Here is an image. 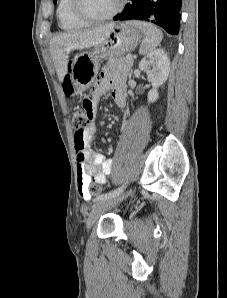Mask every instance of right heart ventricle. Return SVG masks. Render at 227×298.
I'll use <instances>...</instances> for the list:
<instances>
[{"label":"right heart ventricle","mask_w":227,"mask_h":298,"mask_svg":"<svg viewBox=\"0 0 227 298\" xmlns=\"http://www.w3.org/2000/svg\"><path fill=\"white\" fill-rule=\"evenodd\" d=\"M59 25L64 30H76L87 26V23L78 19L73 12V0H59L57 5Z\"/></svg>","instance_id":"right-heart-ventricle-1"}]
</instances>
